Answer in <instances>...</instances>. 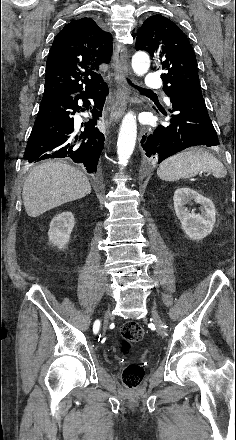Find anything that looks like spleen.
<instances>
[{"instance_id": "3e777b00", "label": "spleen", "mask_w": 236, "mask_h": 440, "mask_svg": "<svg viewBox=\"0 0 236 440\" xmlns=\"http://www.w3.org/2000/svg\"><path fill=\"white\" fill-rule=\"evenodd\" d=\"M200 172H210L217 178L227 174L226 168L215 156L194 148L169 157L157 169L158 177L164 181L188 179Z\"/></svg>"}]
</instances>
